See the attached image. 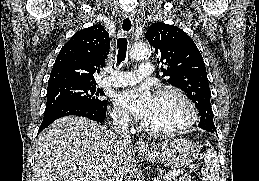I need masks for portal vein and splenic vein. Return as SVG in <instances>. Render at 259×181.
<instances>
[{"instance_id": "obj_1", "label": "portal vein and splenic vein", "mask_w": 259, "mask_h": 181, "mask_svg": "<svg viewBox=\"0 0 259 181\" xmlns=\"http://www.w3.org/2000/svg\"><path fill=\"white\" fill-rule=\"evenodd\" d=\"M189 169H190V171H194L195 168L190 167ZM182 173H183L182 170H177V171L170 172V173L166 174V175L163 177V180H164V181H168V180L174 179L175 177L179 176V175L182 174Z\"/></svg>"}]
</instances>
